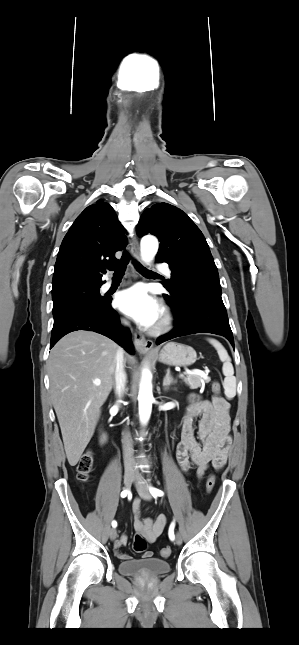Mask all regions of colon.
Listing matches in <instances>:
<instances>
[{"instance_id":"1","label":"colon","mask_w":299,"mask_h":645,"mask_svg":"<svg viewBox=\"0 0 299 645\" xmlns=\"http://www.w3.org/2000/svg\"><path fill=\"white\" fill-rule=\"evenodd\" d=\"M212 391L215 394H219L221 391V386L219 382L214 381L212 383ZM94 467V456L91 451H86L80 458L77 465V477L81 481H87L93 471ZM215 485V476L211 474L206 481V490L210 493ZM133 549L137 553H143L147 549V541L141 536L136 534L134 536ZM162 557H169L171 554L170 548H162L160 551Z\"/></svg>"}]
</instances>
